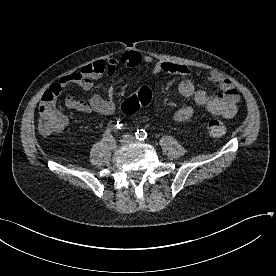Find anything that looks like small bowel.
<instances>
[{
	"mask_svg": "<svg viewBox=\"0 0 276 276\" xmlns=\"http://www.w3.org/2000/svg\"><path fill=\"white\" fill-rule=\"evenodd\" d=\"M141 64L153 65L152 72L154 75L168 73L182 77L190 75V69L182 64L157 61L153 63V58L149 55H142L137 51H128L119 59L108 58L97 60L83 66L79 72L69 74L60 79L59 85L62 90L66 91L65 104L68 108L74 109L84 114L97 113L101 115H110L116 110L115 90L110 88L107 98L94 93L87 101L78 98L70 92L71 88L77 86L83 90H90L94 81L104 75L113 76L121 66L137 67ZM204 77V74H200ZM208 80L214 84L216 91L207 92L197 89L194 83L189 79H183L178 86V90L184 97L192 98L196 106L204 107L213 115H220L225 118H232L237 113V103L239 95L232 83L218 73L207 75ZM46 91L41 99L45 101ZM195 113L194 105H187L179 108L174 113L176 122H186L192 118Z\"/></svg>",
	"mask_w": 276,
	"mask_h": 276,
	"instance_id": "small-bowel-1",
	"label": "small bowel"
}]
</instances>
